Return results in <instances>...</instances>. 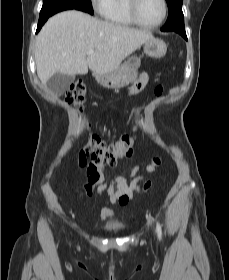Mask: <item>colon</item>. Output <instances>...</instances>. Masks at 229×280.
Instances as JSON below:
<instances>
[{
	"instance_id": "obj_1",
	"label": "colon",
	"mask_w": 229,
	"mask_h": 280,
	"mask_svg": "<svg viewBox=\"0 0 229 280\" xmlns=\"http://www.w3.org/2000/svg\"><path fill=\"white\" fill-rule=\"evenodd\" d=\"M68 103L79 108L86 100V86L83 82L78 81L70 85L67 92ZM135 137L132 134L123 135L115 144H106L98 134H91L86 144L80 151V165L86 168L88 181L96 183L100 176L97 166L101 163L113 166L121 157H132L134 154ZM159 164L160 160L155 159ZM151 183L145 181L142 189L147 190Z\"/></svg>"
}]
</instances>
